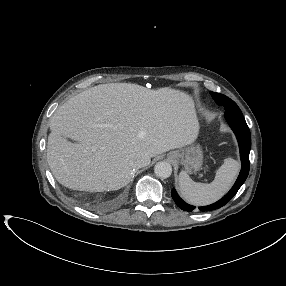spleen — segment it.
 <instances>
[{"instance_id":"obj_1","label":"spleen","mask_w":286,"mask_h":286,"mask_svg":"<svg viewBox=\"0 0 286 286\" xmlns=\"http://www.w3.org/2000/svg\"><path fill=\"white\" fill-rule=\"evenodd\" d=\"M240 165L232 159H225L217 170L211 183H199L193 181L185 171L179 174V188L183 198L193 205H209L222 198L233 185Z\"/></svg>"}]
</instances>
